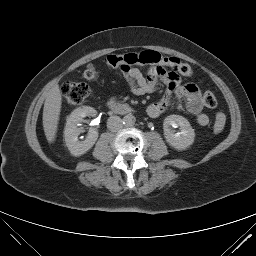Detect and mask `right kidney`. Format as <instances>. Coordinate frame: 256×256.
<instances>
[{"mask_svg": "<svg viewBox=\"0 0 256 256\" xmlns=\"http://www.w3.org/2000/svg\"><path fill=\"white\" fill-rule=\"evenodd\" d=\"M96 110L92 107L83 106L75 109L66 119L64 138L68 150L73 156H81L90 150L98 139V132L90 129L88 136L83 140H78V136L84 131L78 127L86 116L95 115Z\"/></svg>", "mask_w": 256, "mask_h": 256, "instance_id": "obj_1", "label": "right kidney"}]
</instances>
